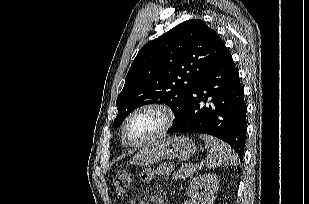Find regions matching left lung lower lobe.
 <instances>
[{
  "mask_svg": "<svg viewBox=\"0 0 309 204\" xmlns=\"http://www.w3.org/2000/svg\"><path fill=\"white\" fill-rule=\"evenodd\" d=\"M208 97L211 101L207 105ZM247 107L238 70L227 51L200 78L186 105L175 115L168 133H203L215 136L243 158Z\"/></svg>",
  "mask_w": 309,
  "mask_h": 204,
  "instance_id": "1",
  "label": "left lung lower lobe"
}]
</instances>
